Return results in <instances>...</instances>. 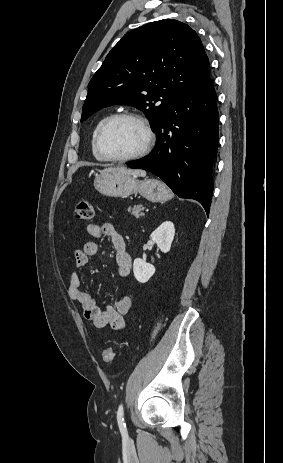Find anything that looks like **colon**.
Wrapping results in <instances>:
<instances>
[{"instance_id":"1","label":"colon","mask_w":283,"mask_h":463,"mask_svg":"<svg viewBox=\"0 0 283 463\" xmlns=\"http://www.w3.org/2000/svg\"><path fill=\"white\" fill-rule=\"evenodd\" d=\"M74 216L76 219L81 221L90 220L94 216V207L91 202L87 200H81L78 202L74 209ZM115 351L112 347H108L103 351L102 358L107 364L114 360Z\"/></svg>"}]
</instances>
